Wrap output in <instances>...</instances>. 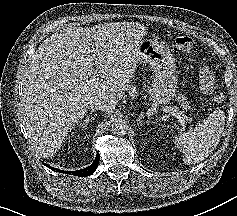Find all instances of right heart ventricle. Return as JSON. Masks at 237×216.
<instances>
[{"instance_id": "1", "label": "right heart ventricle", "mask_w": 237, "mask_h": 216, "mask_svg": "<svg viewBox=\"0 0 237 216\" xmlns=\"http://www.w3.org/2000/svg\"><path fill=\"white\" fill-rule=\"evenodd\" d=\"M113 47V46H112ZM131 48H132V46H131V44L129 45V50H131Z\"/></svg>"}]
</instances>
